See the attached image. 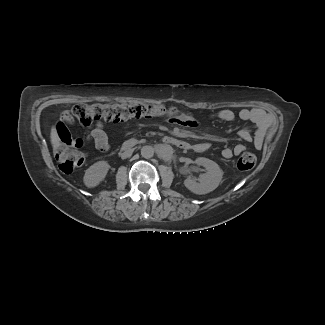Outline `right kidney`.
Segmentation results:
<instances>
[{
	"label": "right kidney",
	"instance_id": "1",
	"mask_svg": "<svg viewBox=\"0 0 325 325\" xmlns=\"http://www.w3.org/2000/svg\"><path fill=\"white\" fill-rule=\"evenodd\" d=\"M110 165L106 161H98L85 172L83 181L87 187L97 186L107 175Z\"/></svg>",
	"mask_w": 325,
	"mask_h": 325
}]
</instances>
